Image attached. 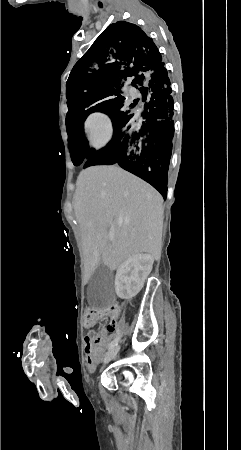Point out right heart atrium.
<instances>
[{
    "label": "right heart atrium",
    "instance_id": "1",
    "mask_svg": "<svg viewBox=\"0 0 241 450\" xmlns=\"http://www.w3.org/2000/svg\"><path fill=\"white\" fill-rule=\"evenodd\" d=\"M88 142L95 150H100L108 144L112 134V122L110 117L102 112L92 114L87 121Z\"/></svg>",
    "mask_w": 241,
    "mask_h": 450
}]
</instances>
